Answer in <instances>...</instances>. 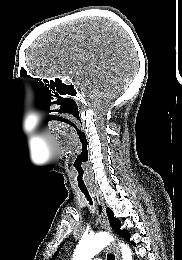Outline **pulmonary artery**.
<instances>
[{"instance_id":"e3ab8cb5","label":"pulmonary artery","mask_w":182,"mask_h":260,"mask_svg":"<svg viewBox=\"0 0 182 260\" xmlns=\"http://www.w3.org/2000/svg\"><path fill=\"white\" fill-rule=\"evenodd\" d=\"M94 260H102L101 258H96V259H94Z\"/></svg>"}]
</instances>
